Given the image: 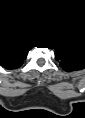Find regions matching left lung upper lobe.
I'll use <instances>...</instances> for the list:
<instances>
[{
  "label": "left lung upper lobe",
  "mask_w": 85,
  "mask_h": 118,
  "mask_svg": "<svg viewBox=\"0 0 85 118\" xmlns=\"http://www.w3.org/2000/svg\"><path fill=\"white\" fill-rule=\"evenodd\" d=\"M59 58L61 59V66L66 69L69 70L72 67L70 66V59H71V54L70 53H66L64 51L59 52Z\"/></svg>",
  "instance_id": "1"
}]
</instances>
